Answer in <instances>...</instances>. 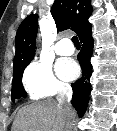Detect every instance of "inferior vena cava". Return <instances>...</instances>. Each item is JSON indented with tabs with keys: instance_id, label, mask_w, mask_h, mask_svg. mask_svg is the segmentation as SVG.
Instances as JSON below:
<instances>
[{
	"instance_id": "inferior-vena-cava-1",
	"label": "inferior vena cava",
	"mask_w": 117,
	"mask_h": 131,
	"mask_svg": "<svg viewBox=\"0 0 117 131\" xmlns=\"http://www.w3.org/2000/svg\"><path fill=\"white\" fill-rule=\"evenodd\" d=\"M72 88L69 85H62L59 90H58V95H57V101L59 104H61L67 114L68 117V129L67 131H70L71 126H72V120L74 118L75 112L72 109V106L70 104V100L72 98Z\"/></svg>"
}]
</instances>
